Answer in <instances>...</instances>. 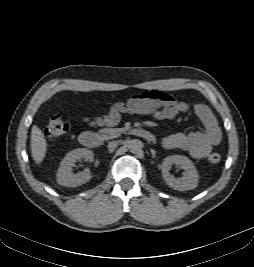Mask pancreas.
I'll use <instances>...</instances> for the list:
<instances>
[{
	"label": "pancreas",
	"instance_id": "pancreas-1",
	"mask_svg": "<svg viewBox=\"0 0 254 267\" xmlns=\"http://www.w3.org/2000/svg\"><path fill=\"white\" fill-rule=\"evenodd\" d=\"M120 132H122V129L120 128H103L100 130V133L109 135L111 137H116Z\"/></svg>",
	"mask_w": 254,
	"mask_h": 267
}]
</instances>
